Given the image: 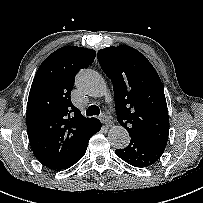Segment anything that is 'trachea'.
<instances>
[{"mask_svg":"<svg viewBox=\"0 0 203 203\" xmlns=\"http://www.w3.org/2000/svg\"><path fill=\"white\" fill-rule=\"evenodd\" d=\"M99 114H100V109L96 105H91L86 110L87 116H93V115H99Z\"/></svg>","mask_w":203,"mask_h":203,"instance_id":"3493384b","label":"trachea"}]
</instances>
